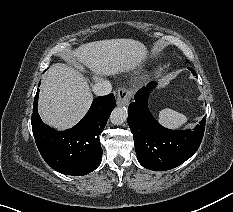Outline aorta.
<instances>
[{"instance_id":"762f6f07","label":"aorta","mask_w":233,"mask_h":212,"mask_svg":"<svg viewBox=\"0 0 233 212\" xmlns=\"http://www.w3.org/2000/svg\"><path fill=\"white\" fill-rule=\"evenodd\" d=\"M128 112L125 107H117L115 108L111 115H110V121L114 125H121L127 120Z\"/></svg>"}]
</instances>
